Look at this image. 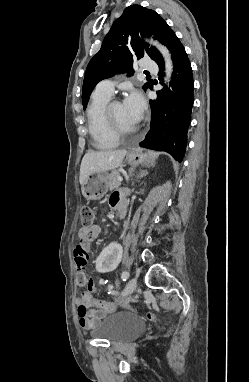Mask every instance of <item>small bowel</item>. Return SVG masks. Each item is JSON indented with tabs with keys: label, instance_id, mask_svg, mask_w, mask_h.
<instances>
[{
	"label": "small bowel",
	"instance_id": "obj_1",
	"mask_svg": "<svg viewBox=\"0 0 249 382\" xmlns=\"http://www.w3.org/2000/svg\"><path fill=\"white\" fill-rule=\"evenodd\" d=\"M124 200V196L120 192H114L109 199V204L112 207H116L120 201ZM98 234V229L92 228H80L78 231L77 240L74 242L75 248H88V245L92 239H94ZM97 268V267H96ZM77 285L80 287H89V282H80L76 279ZM108 288H111V284L104 280L101 281ZM78 304V315L80 317V326L85 330L94 329L103 316L108 312V309L104 304L96 299L92 295V291L85 292L77 298Z\"/></svg>",
	"mask_w": 249,
	"mask_h": 382
}]
</instances>
